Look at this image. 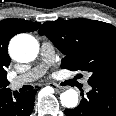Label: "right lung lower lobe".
<instances>
[{
    "label": "right lung lower lobe",
    "mask_w": 116,
    "mask_h": 116,
    "mask_svg": "<svg viewBox=\"0 0 116 116\" xmlns=\"http://www.w3.org/2000/svg\"><path fill=\"white\" fill-rule=\"evenodd\" d=\"M35 90L18 93L11 90L0 96V116H29L34 108Z\"/></svg>",
    "instance_id": "98d812e1"
}]
</instances>
